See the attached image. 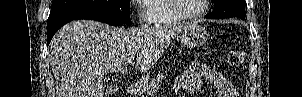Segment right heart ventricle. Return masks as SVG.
Returning <instances> with one entry per match:
<instances>
[{
    "label": "right heart ventricle",
    "mask_w": 302,
    "mask_h": 97,
    "mask_svg": "<svg viewBox=\"0 0 302 97\" xmlns=\"http://www.w3.org/2000/svg\"><path fill=\"white\" fill-rule=\"evenodd\" d=\"M170 0H150L147 4L148 14L151 22L157 27H167L180 22L171 12Z\"/></svg>",
    "instance_id": "obj_1"
}]
</instances>
